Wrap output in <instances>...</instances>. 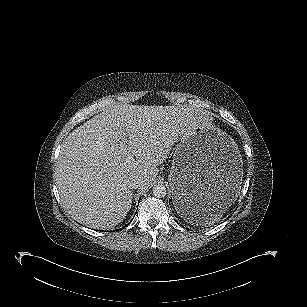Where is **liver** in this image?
<instances>
[{"label":"liver","instance_id":"liver-1","mask_svg":"<svg viewBox=\"0 0 307 307\" xmlns=\"http://www.w3.org/2000/svg\"><path fill=\"white\" fill-rule=\"evenodd\" d=\"M211 121L177 106L118 104L95 115L61 146L55 174L64 209L90 228L118 225L132 205L128 183L139 179V189H149L174 142Z\"/></svg>","mask_w":307,"mask_h":307}]
</instances>
